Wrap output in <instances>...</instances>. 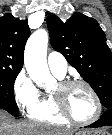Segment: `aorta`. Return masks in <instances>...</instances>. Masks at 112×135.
I'll return each instance as SVG.
<instances>
[{
    "label": "aorta",
    "mask_w": 112,
    "mask_h": 135,
    "mask_svg": "<svg viewBox=\"0 0 112 135\" xmlns=\"http://www.w3.org/2000/svg\"><path fill=\"white\" fill-rule=\"evenodd\" d=\"M48 32L44 29L35 31L27 41L24 52V64L30 78L40 88H48L55 79L47 65Z\"/></svg>",
    "instance_id": "aorta-1"
}]
</instances>
